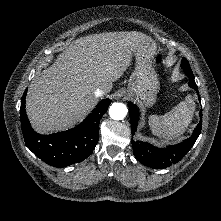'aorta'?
Wrapping results in <instances>:
<instances>
[{
    "label": "aorta",
    "instance_id": "aorta-1",
    "mask_svg": "<svg viewBox=\"0 0 221 221\" xmlns=\"http://www.w3.org/2000/svg\"><path fill=\"white\" fill-rule=\"evenodd\" d=\"M128 109L123 103H113L109 108V115L113 120H122L127 115Z\"/></svg>",
    "mask_w": 221,
    "mask_h": 221
}]
</instances>
